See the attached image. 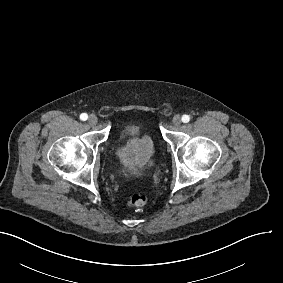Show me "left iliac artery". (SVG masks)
<instances>
[{"label":"left iliac artery","instance_id":"44dca946","mask_svg":"<svg viewBox=\"0 0 283 283\" xmlns=\"http://www.w3.org/2000/svg\"><path fill=\"white\" fill-rule=\"evenodd\" d=\"M190 121V117L188 115H183L182 116V122L187 123Z\"/></svg>","mask_w":283,"mask_h":283}]
</instances>
